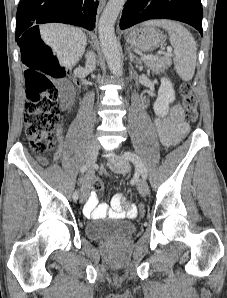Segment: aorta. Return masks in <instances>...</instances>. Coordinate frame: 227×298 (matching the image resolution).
<instances>
[{
  "mask_svg": "<svg viewBox=\"0 0 227 298\" xmlns=\"http://www.w3.org/2000/svg\"><path fill=\"white\" fill-rule=\"evenodd\" d=\"M125 2L126 0H109L98 23L103 55L110 71L116 76L122 75V62L114 26Z\"/></svg>",
  "mask_w": 227,
  "mask_h": 298,
  "instance_id": "762f6f07",
  "label": "aorta"
}]
</instances>
